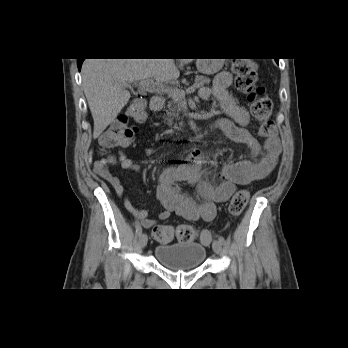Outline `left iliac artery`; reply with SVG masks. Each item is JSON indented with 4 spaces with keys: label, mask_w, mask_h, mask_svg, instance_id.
Returning <instances> with one entry per match:
<instances>
[{
    "label": "left iliac artery",
    "mask_w": 348,
    "mask_h": 348,
    "mask_svg": "<svg viewBox=\"0 0 348 348\" xmlns=\"http://www.w3.org/2000/svg\"><path fill=\"white\" fill-rule=\"evenodd\" d=\"M218 240H219L222 244H225V239H224L223 236H220V237L218 238Z\"/></svg>",
    "instance_id": "obj_1"
}]
</instances>
